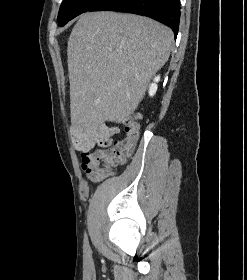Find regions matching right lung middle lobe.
I'll use <instances>...</instances> for the list:
<instances>
[{"label": "right lung middle lobe", "mask_w": 247, "mask_h": 280, "mask_svg": "<svg viewBox=\"0 0 247 280\" xmlns=\"http://www.w3.org/2000/svg\"><path fill=\"white\" fill-rule=\"evenodd\" d=\"M100 0H63L58 13V23L64 26L83 12L91 10Z\"/></svg>", "instance_id": "1"}]
</instances>
